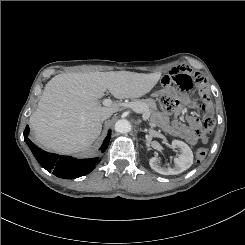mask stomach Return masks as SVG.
Here are the masks:
<instances>
[{
	"mask_svg": "<svg viewBox=\"0 0 245 245\" xmlns=\"http://www.w3.org/2000/svg\"><path fill=\"white\" fill-rule=\"evenodd\" d=\"M160 93L159 92H156L153 94L154 97H157Z\"/></svg>",
	"mask_w": 245,
	"mask_h": 245,
	"instance_id": "stomach-1",
	"label": "stomach"
}]
</instances>
